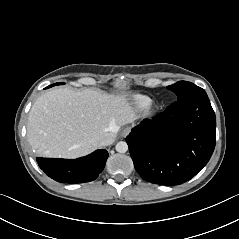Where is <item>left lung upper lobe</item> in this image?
I'll return each instance as SVG.
<instances>
[{
  "label": "left lung upper lobe",
  "instance_id": "obj_1",
  "mask_svg": "<svg viewBox=\"0 0 239 239\" xmlns=\"http://www.w3.org/2000/svg\"><path fill=\"white\" fill-rule=\"evenodd\" d=\"M167 89L175 92V94L178 96L177 100H181L204 91V89L188 81H179L168 86Z\"/></svg>",
  "mask_w": 239,
  "mask_h": 239
}]
</instances>
